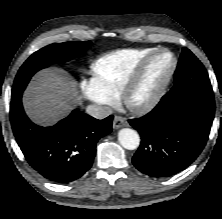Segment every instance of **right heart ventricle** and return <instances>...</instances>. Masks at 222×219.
<instances>
[{"label": "right heart ventricle", "instance_id": "right-heart-ventricle-1", "mask_svg": "<svg viewBox=\"0 0 222 219\" xmlns=\"http://www.w3.org/2000/svg\"><path fill=\"white\" fill-rule=\"evenodd\" d=\"M155 48L116 50L97 58L90 66L91 84L100 95L115 101L141 60Z\"/></svg>", "mask_w": 222, "mask_h": 219}]
</instances>
